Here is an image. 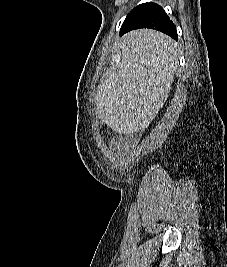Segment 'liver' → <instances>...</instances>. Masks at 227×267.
<instances>
[{
	"label": "liver",
	"mask_w": 227,
	"mask_h": 267,
	"mask_svg": "<svg viewBox=\"0 0 227 267\" xmlns=\"http://www.w3.org/2000/svg\"><path fill=\"white\" fill-rule=\"evenodd\" d=\"M117 71L102 79L96 113L117 133L144 130L168 98L177 70V43L155 30L126 34Z\"/></svg>",
	"instance_id": "1"
}]
</instances>
